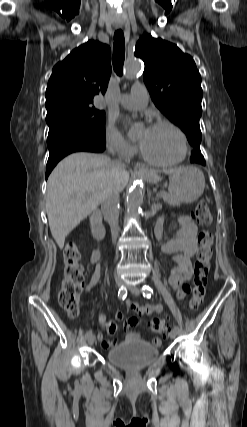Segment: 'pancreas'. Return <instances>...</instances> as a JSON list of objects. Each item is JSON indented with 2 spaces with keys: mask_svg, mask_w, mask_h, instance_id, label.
Segmentation results:
<instances>
[{
  "mask_svg": "<svg viewBox=\"0 0 247 427\" xmlns=\"http://www.w3.org/2000/svg\"><path fill=\"white\" fill-rule=\"evenodd\" d=\"M158 197L162 198L164 202L169 204L170 206H179L180 202L175 199L173 196H171L168 192L160 191L158 193Z\"/></svg>",
  "mask_w": 247,
  "mask_h": 427,
  "instance_id": "1",
  "label": "pancreas"
}]
</instances>
